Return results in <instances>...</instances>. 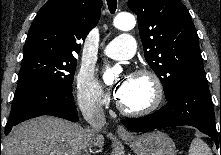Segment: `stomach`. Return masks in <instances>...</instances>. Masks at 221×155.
Instances as JSON below:
<instances>
[{
  "label": "stomach",
  "mask_w": 221,
  "mask_h": 155,
  "mask_svg": "<svg viewBox=\"0 0 221 155\" xmlns=\"http://www.w3.org/2000/svg\"><path fill=\"white\" fill-rule=\"evenodd\" d=\"M121 138L136 155H176L177 152L173 140L160 131Z\"/></svg>",
  "instance_id": "1"
}]
</instances>
